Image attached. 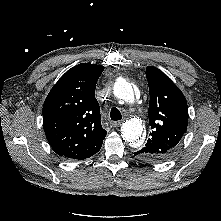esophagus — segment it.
Segmentation results:
<instances>
[{
	"label": "esophagus",
	"instance_id": "1",
	"mask_svg": "<svg viewBox=\"0 0 221 221\" xmlns=\"http://www.w3.org/2000/svg\"><path fill=\"white\" fill-rule=\"evenodd\" d=\"M122 124V121H115L112 123L113 127H119Z\"/></svg>",
	"mask_w": 221,
	"mask_h": 221
}]
</instances>
